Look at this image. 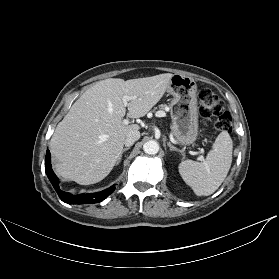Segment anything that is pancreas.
Masks as SVG:
<instances>
[{"instance_id": "cf45deb5", "label": "pancreas", "mask_w": 279, "mask_h": 279, "mask_svg": "<svg viewBox=\"0 0 279 279\" xmlns=\"http://www.w3.org/2000/svg\"><path fill=\"white\" fill-rule=\"evenodd\" d=\"M166 107H167L166 105H161V106H160V109H161V110H165Z\"/></svg>"}]
</instances>
